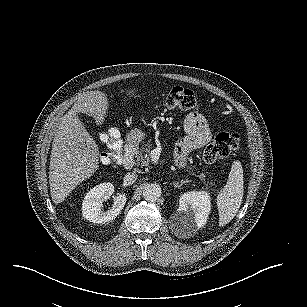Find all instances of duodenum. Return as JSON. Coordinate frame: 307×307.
Segmentation results:
<instances>
[{
	"label": "duodenum",
	"instance_id": "410a0bca",
	"mask_svg": "<svg viewBox=\"0 0 307 307\" xmlns=\"http://www.w3.org/2000/svg\"><path fill=\"white\" fill-rule=\"evenodd\" d=\"M135 146L132 143L125 145L123 165L126 169H131L134 166Z\"/></svg>",
	"mask_w": 307,
	"mask_h": 307
}]
</instances>
